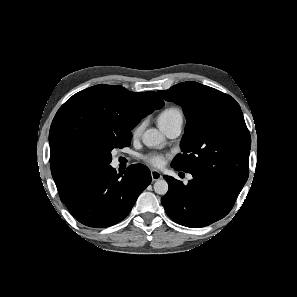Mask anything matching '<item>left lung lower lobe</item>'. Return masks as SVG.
I'll return each instance as SVG.
<instances>
[{
	"instance_id": "0a47b994",
	"label": "left lung lower lobe",
	"mask_w": 297,
	"mask_h": 297,
	"mask_svg": "<svg viewBox=\"0 0 297 297\" xmlns=\"http://www.w3.org/2000/svg\"><path fill=\"white\" fill-rule=\"evenodd\" d=\"M164 178L169 184L168 192L161 199L166 213L176 223L190 228L208 226L225 217L238 196L204 178L193 176L187 185L173 177Z\"/></svg>"
}]
</instances>
